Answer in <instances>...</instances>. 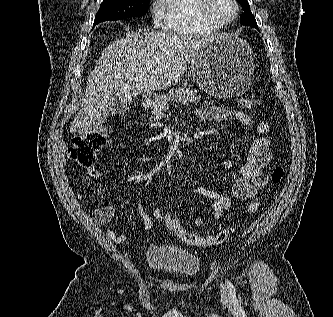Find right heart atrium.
<instances>
[{"instance_id":"right-heart-atrium-1","label":"right heart atrium","mask_w":333,"mask_h":317,"mask_svg":"<svg viewBox=\"0 0 333 317\" xmlns=\"http://www.w3.org/2000/svg\"><path fill=\"white\" fill-rule=\"evenodd\" d=\"M159 0H154L152 5H151V14L156 22L160 20V15H159Z\"/></svg>"}]
</instances>
